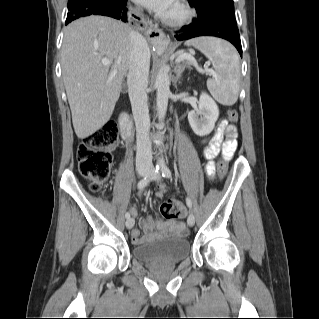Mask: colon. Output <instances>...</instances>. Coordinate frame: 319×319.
<instances>
[{"mask_svg":"<svg viewBox=\"0 0 319 319\" xmlns=\"http://www.w3.org/2000/svg\"><path fill=\"white\" fill-rule=\"evenodd\" d=\"M232 123L238 121V112L235 109L228 111ZM118 144V128L114 122L105 123L98 131L88 135L79 144L77 158L81 176L89 182L92 191L98 192L106 187L113 152ZM227 174V166L223 160L218 163V176L223 179ZM162 215L174 220L182 215L183 209L177 200L164 202L161 207Z\"/></svg>","mask_w":319,"mask_h":319,"instance_id":"colon-1","label":"colon"}]
</instances>
